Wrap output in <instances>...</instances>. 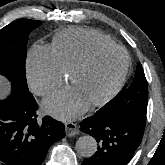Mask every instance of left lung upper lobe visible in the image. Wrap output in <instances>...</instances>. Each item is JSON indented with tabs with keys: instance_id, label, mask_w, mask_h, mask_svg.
<instances>
[{
	"instance_id": "5c2ea615",
	"label": "left lung upper lobe",
	"mask_w": 165,
	"mask_h": 165,
	"mask_svg": "<svg viewBox=\"0 0 165 165\" xmlns=\"http://www.w3.org/2000/svg\"><path fill=\"white\" fill-rule=\"evenodd\" d=\"M148 104V87L144 70L137 65L135 78L131 86L120 91L110 102L95 113L101 117H137L146 119Z\"/></svg>"
}]
</instances>
